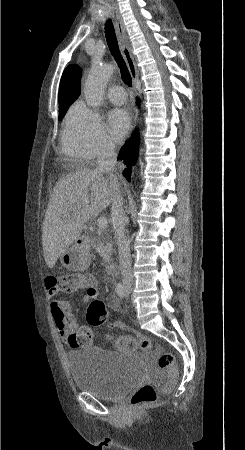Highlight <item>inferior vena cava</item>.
I'll list each match as a JSON object with an SVG mask.
<instances>
[{
  "label": "inferior vena cava",
  "instance_id": "obj_1",
  "mask_svg": "<svg viewBox=\"0 0 245 450\" xmlns=\"http://www.w3.org/2000/svg\"><path fill=\"white\" fill-rule=\"evenodd\" d=\"M117 162L115 146L110 141H105L97 157L98 170L109 173V180L114 185V196L111 208V221L119 250L120 271L124 285H132L130 248L125 235V215L123 198L120 194L117 178L113 171Z\"/></svg>",
  "mask_w": 245,
  "mask_h": 450
}]
</instances>
